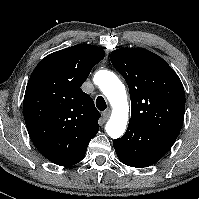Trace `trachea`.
I'll return each mask as SVG.
<instances>
[{"instance_id": "3493384b", "label": "trachea", "mask_w": 199, "mask_h": 199, "mask_svg": "<svg viewBox=\"0 0 199 199\" xmlns=\"http://www.w3.org/2000/svg\"><path fill=\"white\" fill-rule=\"evenodd\" d=\"M96 106L100 111H104L107 108L106 101L102 96L97 97Z\"/></svg>"}]
</instances>
